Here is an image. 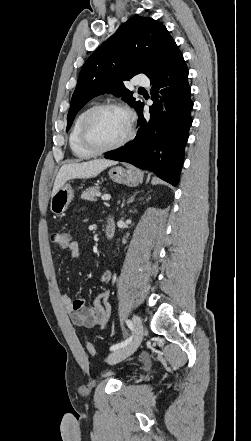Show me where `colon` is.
<instances>
[{
	"label": "colon",
	"mask_w": 251,
	"mask_h": 441,
	"mask_svg": "<svg viewBox=\"0 0 251 441\" xmlns=\"http://www.w3.org/2000/svg\"><path fill=\"white\" fill-rule=\"evenodd\" d=\"M50 241L52 244L61 249H66L71 242L69 233L62 230L52 231L50 234ZM87 350L91 355L96 354L95 346L90 342L87 343Z\"/></svg>",
	"instance_id": "colon-1"
}]
</instances>
